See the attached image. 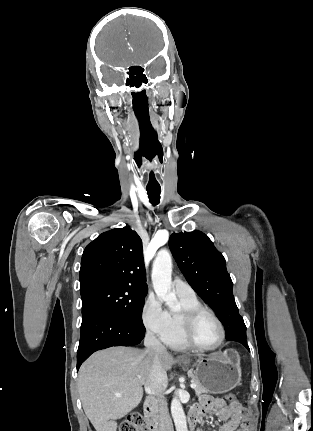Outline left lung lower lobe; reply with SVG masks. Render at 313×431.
Listing matches in <instances>:
<instances>
[{
    "label": "left lung lower lobe",
    "instance_id": "left-lung-lower-lobe-1",
    "mask_svg": "<svg viewBox=\"0 0 313 431\" xmlns=\"http://www.w3.org/2000/svg\"><path fill=\"white\" fill-rule=\"evenodd\" d=\"M236 342L243 344L249 350L246 340H236Z\"/></svg>",
    "mask_w": 313,
    "mask_h": 431
}]
</instances>
